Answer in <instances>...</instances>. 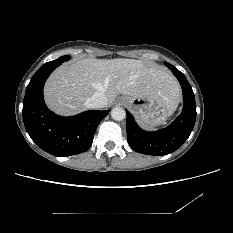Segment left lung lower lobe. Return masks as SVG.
Listing matches in <instances>:
<instances>
[{
    "instance_id": "left-lung-lower-lobe-1",
    "label": "left lung lower lobe",
    "mask_w": 233,
    "mask_h": 233,
    "mask_svg": "<svg viewBox=\"0 0 233 233\" xmlns=\"http://www.w3.org/2000/svg\"><path fill=\"white\" fill-rule=\"evenodd\" d=\"M183 90L184 106L181 114L168 127L148 132L142 130L127 111V140L130 147L141 154L165 155L176 151L190 136L196 120V103L193 90L182 72L169 63Z\"/></svg>"
}]
</instances>
